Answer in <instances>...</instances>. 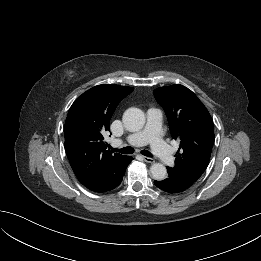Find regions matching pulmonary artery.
<instances>
[{
	"label": "pulmonary artery",
	"instance_id": "obj_1",
	"mask_svg": "<svg viewBox=\"0 0 261 261\" xmlns=\"http://www.w3.org/2000/svg\"><path fill=\"white\" fill-rule=\"evenodd\" d=\"M161 122V111L156 108H150L147 111V123L145 127L140 131L128 135L126 141L134 146H142L149 143L153 152L160 158L164 165H172L174 157L161 137Z\"/></svg>",
	"mask_w": 261,
	"mask_h": 261
}]
</instances>
